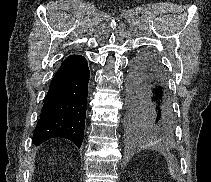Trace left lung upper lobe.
<instances>
[{
  "instance_id": "obj_1",
  "label": "left lung upper lobe",
  "mask_w": 211,
  "mask_h": 182,
  "mask_svg": "<svg viewBox=\"0 0 211 182\" xmlns=\"http://www.w3.org/2000/svg\"><path fill=\"white\" fill-rule=\"evenodd\" d=\"M146 131H147L148 133L153 132L152 128H150V127H148V128L146 129Z\"/></svg>"
}]
</instances>
